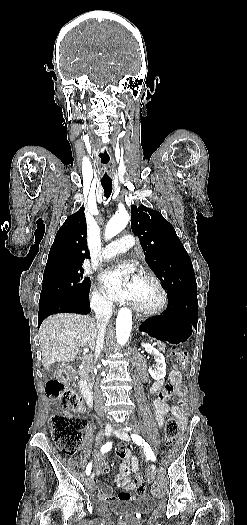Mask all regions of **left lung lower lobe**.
<instances>
[{
  "mask_svg": "<svg viewBox=\"0 0 247 525\" xmlns=\"http://www.w3.org/2000/svg\"><path fill=\"white\" fill-rule=\"evenodd\" d=\"M160 318H183L197 329V294L182 293L169 297L168 307Z\"/></svg>",
  "mask_w": 247,
  "mask_h": 525,
  "instance_id": "1",
  "label": "left lung lower lobe"
}]
</instances>
